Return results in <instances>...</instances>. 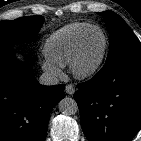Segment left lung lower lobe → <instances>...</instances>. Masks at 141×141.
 Instances as JSON below:
<instances>
[{
  "instance_id": "obj_1",
  "label": "left lung lower lobe",
  "mask_w": 141,
  "mask_h": 141,
  "mask_svg": "<svg viewBox=\"0 0 141 141\" xmlns=\"http://www.w3.org/2000/svg\"><path fill=\"white\" fill-rule=\"evenodd\" d=\"M74 98L89 141H131L141 128V56L105 64Z\"/></svg>"
}]
</instances>
